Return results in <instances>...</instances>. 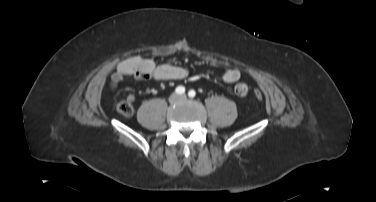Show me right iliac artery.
Wrapping results in <instances>:
<instances>
[{
  "label": "right iliac artery",
  "mask_w": 376,
  "mask_h": 202,
  "mask_svg": "<svg viewBox=\"0 0 376 202\" xmlns=\"http://www.w3.org/2000/svg\"><path fill=\"white\" fill-rule=\"evenodd\" d=\"M175 92L179 95L181 94H184L185 93V87L183 86H178L176 89H175Z\"/></svg>",
  "instance_id": "right-iliac-artery-1"
}]
</instances>
